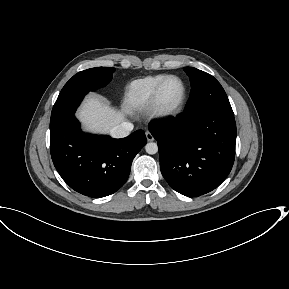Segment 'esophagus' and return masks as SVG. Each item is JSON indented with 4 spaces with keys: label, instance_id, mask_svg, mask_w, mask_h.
I'll return each instance as SVG.
<instances>
[{
    "label": "esophagus",
    "instance_id": "1",
    "mask_svg": "<svg viewBox=\"0 0 289 289\" xmlns=\"http://www.w3.org/2000/svg\"><path fill=\"white\" fill-rule=\"evenodd\" d=\"M145 135H146V138H147L148 141H153L154 140L153 135L149 131H146Z\"/></svg>",
    "mask_w": 289,
    "mask_h": 289
}]
</instances>
